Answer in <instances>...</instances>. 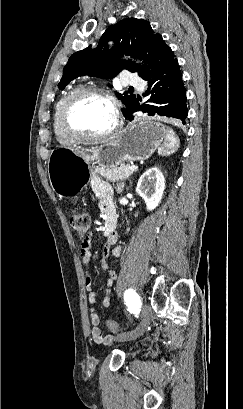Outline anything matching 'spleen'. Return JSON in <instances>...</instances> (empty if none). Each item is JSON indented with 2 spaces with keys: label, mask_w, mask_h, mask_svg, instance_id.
<instances>
[{
  "label": "spleen",
  "mask_w": 243,
  "mask_h": 409,
  "mask_svg": "<svg viewBox=\"0 0 243 409\" xmlns=\"http://www.w3.org/2000/svg\"><path fill=\"white\" fill-rule=\"evenodd\" d=\"M179 147V140L173 129L167 127L163 145L158 148L159 155H170Z\"/></svg>",
  "instance_id": "obj_1"
}]
</instances>
